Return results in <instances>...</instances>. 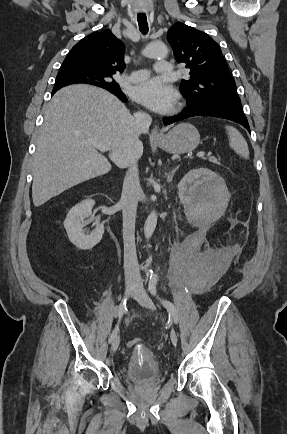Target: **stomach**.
I'll list each match as a JSON object with an SVG mask.
<instances>
[{
	"label": "stomach",
	"mask_w": 287,
	"mask_h": 434,
	"mask_svg": "<svg viewBox=\"0 0 287 434\" xmlns=\"http://www.w3.org/2000/svg\"><path fill=\"white\" fill-rule=\"evenodd\" d=\"M200 142L198 130L189 123H181L155 140L156 145L170 154H183L194 150Z\"/></svg>",
	"instance_id": "1"
}]
</instances>
